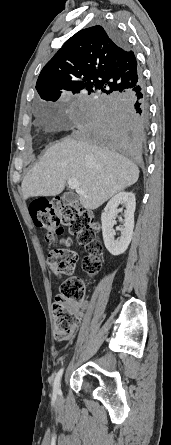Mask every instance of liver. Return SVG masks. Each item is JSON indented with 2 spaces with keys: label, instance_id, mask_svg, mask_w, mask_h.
<instances>
[{
  "label": "liver",
  "instance_id": "1",
  "mask_svg": "<svg viewBox=\"0 0 171 445\" xmlns=\"http://www.w3.org/2000/svg\"><path fill=\"white\" fill-rule=\"evenodd\" d=\"M139 169L126 157H116L96 141L65 138L51 146L22 182L23 197L60 194L69 178L84 190L79 200L95 210L119 191L133 185Z\"/></svg>",
  "mask_w": 171,
  "mask_h": 445
}]
</instances>
